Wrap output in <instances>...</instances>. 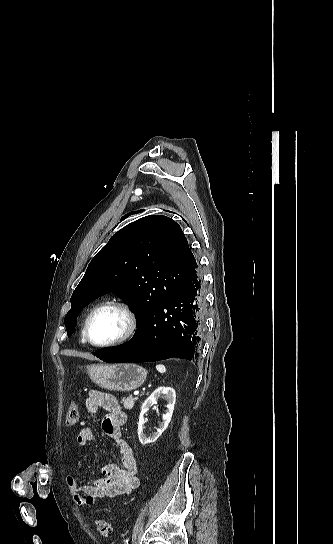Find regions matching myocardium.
<instances>
[{"label":"myocardium","mask_w":333,"mask_h":544,"mask_svg":"<svg viewBox=\"0 0 333 544\" xmlns=\"http://www.w3.org/2000/svg\"><path fill=\"white\" fill-rule=\"evenodd\" d=\"M107 306L116 307L117 309H119L124 314V316L126 318L125 329H124L123 333L118 338H116V339H114L112 341L105 342V343L93 342L91 340L90 336H89V331H88L90 321H91L92 317L94 316V314L98 310H100V309H102L104 307H107ZM137 326H138L137 317H136L135 312L131 308V306L126 301H124V300H122L120 298L113 297V298H107V299L102 300L101 302L96 304L90 310V312L88 313V315H87V317L85 319L82 334H83V339L85 340V342H87L91 346L96 347V348H109V347H114V346L120 345V344L126 342L127 340H129L135 334V332L137 330Z\"/></svg>","instance_id":"myocardium-1"}]
</instances>
